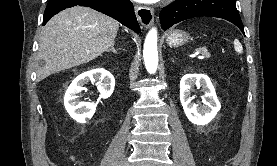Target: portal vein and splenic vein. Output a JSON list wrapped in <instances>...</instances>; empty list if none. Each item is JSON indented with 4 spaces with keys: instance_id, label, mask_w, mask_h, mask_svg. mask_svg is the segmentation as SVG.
I'll list each match as a JSON object with an SVG mask.
<instances>
[{
    "instance_id": "portal-vein-and-splenic-vein-1",
    "label": "portal vein and splenic vein",
    "mask_w": 277,
    "mask_h": 166,
    "mask_svg": "<svg viewBox=\"0 0 277 166\" xmlns=\"http://www.w3.org/2000/svg\"><path fill=\"white\" fill-rule=\"evenodd\" d=\"M194 55L197 56L198 58H201V59L209 58L210 57L209 53H204V54H202V56H199L198 53H195Z\"/></svg>"
}]
</instances>
